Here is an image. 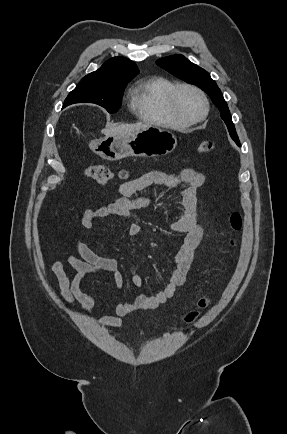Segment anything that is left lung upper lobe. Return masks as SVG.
I'll list each match as a JSON object with an SVG mask.
<instances>
[{
  "label": "left lung upper lobe",
  "instance_id": "left-lung-upper-lobe-1",
  "mask_svg": "<svg viewBox=\"0 0 287 434\" xmlns=\"http://www.w3.org/2000/svg\"><path fill=\"white\" fill-rule=\"evenodd\" d=\"M156 63L174 76L195 84L205 91L220 110L221 117L227 125L231 138L239 145V139L227 103L216 82L210 77V74L207 71L196 64H193L183 55H173L161 58L158 59Z\"/></svg>",
  "mask_w": 287,
  "mask_h": 434
}]
</instances>
